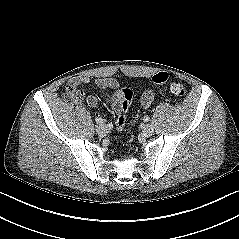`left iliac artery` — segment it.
Returning <instances> with one entry per match:
<instances>
[{"mask_svg":"<svg viewBox=\"0 0 239 239\" xmlns=\"http://www.w3.org/2000/svg\"><path fill=\"white\" fill-rule=\"evenodd\" d=\"M149 119H150V118H149L148 116H145V117H144V121H145V122H148Z\"/></svg>","mask_w":239,"mask_h":239,"instance_id":"left-iliac-artery-1","label":"left iliac artery"}]
</instances>
